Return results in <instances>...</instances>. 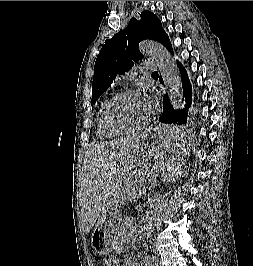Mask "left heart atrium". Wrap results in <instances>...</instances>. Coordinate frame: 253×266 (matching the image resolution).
I'll list each match as a JSON object with an SVG mask.
<instances>
[{"label":"left heart atrium","instance_id":"obj_1","mask_svg":"<svg viewBox=\"0 0 253 266\" xmlns=\"http://www.w3.org/2000/svg\"><path fill=\"white\" fill-rule=\"evenodd\" d=\"M142 98L147 106L148 112L151 113L153 112L154 108L157 105V98L154 93L150 91H146L143 95Z\"/></svg>","mask_w":253,"mask_h":266}]
</instances>
